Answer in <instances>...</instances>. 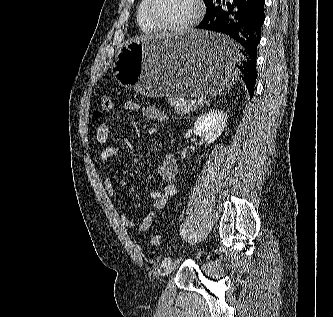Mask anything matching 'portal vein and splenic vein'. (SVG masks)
I'll return each mask as SVG.
<instances>
[{"mask_svg":"<svg viewBox=\"0 0 333 317\" xmlns=\"http://www.w3.org/2000/svg\"><path fill=\"white\" fill-rule=\"evenodd\" d=\"M197 102H196V100H192L191 101V104H196ZM199 104H202L203 102L201 101V102H198Z\"/></svg>","mask_w":333,"mask_h":317,"instance_id":"18ae733b","label":"portal vein and splenic vein"}]
</instances>
